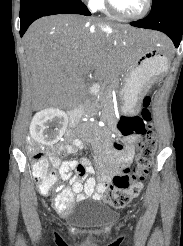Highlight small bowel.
<instances>
[{"instance_id":"obj_1","label":"small bowel","mask_w":183,"mask_h":246,"mask_svg":"<svg viewBox=\"0 0 183 246\" xmlns=\"http://www.w3.org/2000/svg\"><path fill=\"white\" fill-rule=\"evenodd\" d=\"M83 137L89 140L95 149V160L100 173L99 179L94 175V169L88 157H83L80 162L68 160L61 162L59 157L52 150L49 151L52 166L58 169L62 179L69 180L71 189L58 187L59 195L71 200L80 202L91 198L100 200L107 190L108 181L118 174L119 170L125 168L134 158L135 145L141 139V134L129 136L122 135L124 151L114 152L112 134L109 131L89 132L83 131ZM82 139H74L70 144L61 145L59 149L68 154H73L85 149ZM76 169L77 173H71ZM47 195L49 191H41ZM72 208V207H71ZM71 208L59 212L62 216L68 215Z\"/></svg>"}]
</instances>
